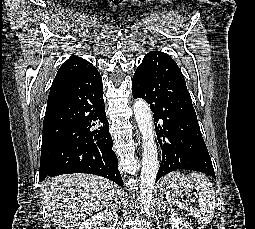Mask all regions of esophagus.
<instances>
[{
    "label": "esophagus",
    "mask_w": 255,
    "mask_h": 229,
    "mask_svg": "<svg viewBox=\"0 0 255 229\" xmlns=\"http://www.w3.org/2000/svg\"><path fill=\"white\" fill-rule=\"evenodd\" d=\"M137 138H138V142L140 143V137H139V135L137 134Z\"/></svg>",
    "instance_id": "34e87169"
}]
</instances>
